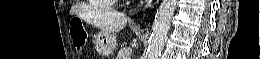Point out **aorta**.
Here are the masks:
<instances>
[{"label": "aorta", "mask_w": 261, "mask_h": 59, "mask_svg": "<svg viewBox=\"0 0 261 59\" xmlns=\"http://www.w3.org/2000/svg\"><path fill=\"white\" fill-rule=\"evenodd\" d=\"M177 0H162L157 9L149 38L148 59H159L163 50Z\"/></svg>", "instance_id": "1"}]
</instances>
